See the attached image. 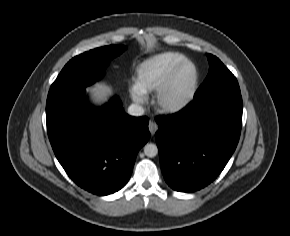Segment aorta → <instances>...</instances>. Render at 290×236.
I'll return each instance as SVG.
<instances>
[{"mask_svg":"<svg viewBox=\"0 0 290 236\" xmlns=\"http://www.w3.org/2000/svg\"><path fill=\"white\" fill-rule=\"evenodd\" d=\"M144 153L147 157H155L158 154V148L153 143H147L144 146Z\"/></svg>","mask_w":290,"mask_h":236,"instance_id":"762f6f07","label":"aorta"}]
</instances>
